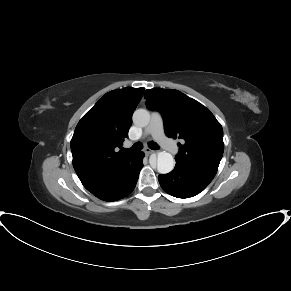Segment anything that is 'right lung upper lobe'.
<instances>
[{"instance_id": "right-lung-upper-lobe-1", "label": "right lung upper lobe", "mask_w": 291, "mask_h": 291, "mask_svg": "<svg viewBox=\"0 0 291 291\" xmlns=\"http://www.w3.org/2000/svg\"><path fill=\"white\" fill-rule=\"evenodd\" d=\"M144 88L106 93L77 124L71 140L73 167L81 182L108 175L128 163L135 153L116 152L132 125V114Z\"/></svg>"}]
</instances>
